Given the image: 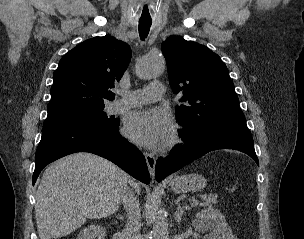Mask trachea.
<instances>
[{"mask_svg":"<svg viewBox=\"0 0 304 239\" xmlns=\"http://www.w3.org/2000/svg\"><path fill=\"white\" fill-rule=\"evenodd\" d=\"M150 3L149 2H142L141 8L139 12V35L141 40H144L150 30L152 25V13L149 12Z\"/></svg>","mask_w":304,"mask_h":239,"instance_id":"obj_1","label":"trachea"}]
</instances>
